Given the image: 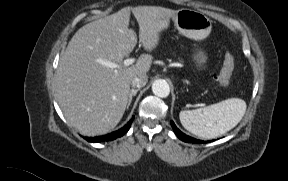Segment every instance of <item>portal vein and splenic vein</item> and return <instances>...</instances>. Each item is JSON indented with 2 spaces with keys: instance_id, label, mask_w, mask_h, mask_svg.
<instances>
[{
  "instance_id": "1",
  "label": "portal vein and splenic vein",
  "mask_w": 288,
  "mask_h": 181,
  "mask_svg": "<svg viewBox=\"0 0 288 181\" xmlns=\"http://www.w3.org/2000/svg\"><path fill=\"white\" fill-rule=\"evenodd\" d=\"M135 62V58H127L123 61L124 66H129ZM106 65L110 68H117V64L112 62H107Z\"/></svg>"
}]
</instances>
